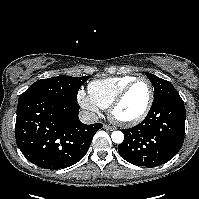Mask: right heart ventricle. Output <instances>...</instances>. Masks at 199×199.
I'll list each match as a JSON object with an SVG mask.
<instances>
[{
	"label": "right heart ventricle",
	"instance_id": "right-heart-ventricle-1",
	"mask_svg": "<svg viewBox=\"0 0 199 199\" xmlns=\"http://www.w3.org/2000/svg\"><path fill=\"white\" fill-rule=\"evenodd\" d=\"M133 79L132 76H120L92 81L88 85V94L98 107L108 108L116 96Z\"/></svg>",
	"mask_w": 199,
	"mask_h": 199
}]
</instances>
